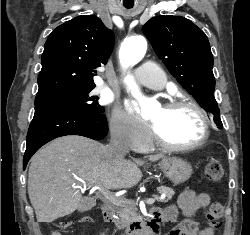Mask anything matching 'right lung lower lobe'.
I'll use <instances>...</instances> for the list:
<instances>
[{"mask_svg": "<svg viewBox=\"0 0 250 235\" xmlns=\"http://www.w3.org/2000/svg\"><path fill=\"white\" fill-rule=\"evenodd\" d=\"M107 132L104 114H91L68 107L36 106L27 134L23 168H26L30 158L41 146L57 137L81 135L100 140L107 135Z\"/></svg>", "mask_w": 250, "mask_h": 235, "instance_id": "right-lung-lower-lobe-1", "label": "right lung lower lobe"}]
</instances>
